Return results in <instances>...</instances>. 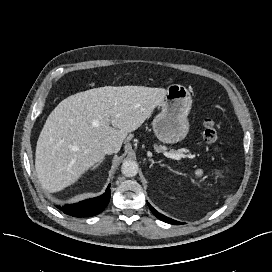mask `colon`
I'll return each instance as SVG.
<instances>
[{
    "label": "colon",
    "mask_w": 272,
    "mask_h": 272,
    "mask_svg": "<svg viewBox=\"0 0 272 272\" xmlns=\"http://www.w3.org/2000/svg\"><path fill=\"white\" fill-rule=\"evenodd\" d=\"M219 132L215 121L207 117L204 120L203 139L206 143L215 145L218 141Z\"/></svg>",
    "instance_id": "obj_1"
}]
</instances>
